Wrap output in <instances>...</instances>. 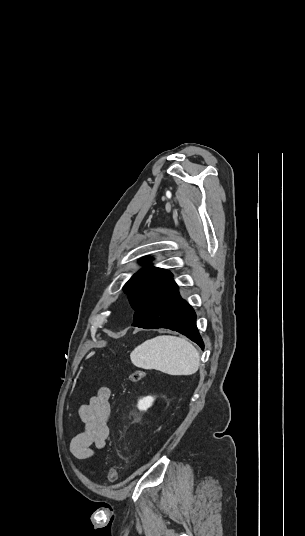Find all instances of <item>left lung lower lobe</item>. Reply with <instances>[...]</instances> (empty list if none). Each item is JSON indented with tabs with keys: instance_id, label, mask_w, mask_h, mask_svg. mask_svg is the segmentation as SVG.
Wrapping results in <instances>:
<instances>
[{
	"instance_id": "obj_1",
	"label": "left lung lower lobe",
	"mask_w": 305,
	"mask_h": 536,
	"mask_svg": "<svg viewBox=\"0 0 305 536\" xmlns=\"http://www.w3.org/2000/svg\"><path fill=\"white\" fill-rule=\"evenodd\" d=\"M132 326L145 329L168 328L186 335L202 349L204 344L196 327V314L181 298L173 281L147 299L133 316Z\"/></svg>"
}]
</instances>
